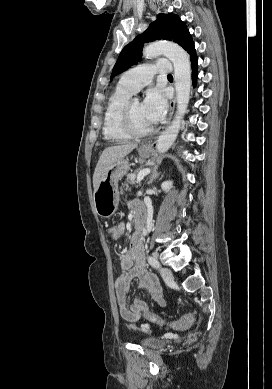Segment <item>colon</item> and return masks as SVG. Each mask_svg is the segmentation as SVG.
<instances>
[{
  "instance_id": "1",
  "label": "colon",
  "mask_w": 272,
  "mask_h": 389,
  "mask_svg": "<svg viewBox=\"0 0 272 389\" xmlns=\"http://www.w3.org/2000/svg\"><path fill=\"white\" fill-rule=\"evenodd\" d=\"M109 236L112 240H118L120 238V231L117 226H111L108 228ZM147 319L159 326H168L169 328H172L174 330H184L188 328L192 323V316L187 314L183 316L181 319L176 321L167 322L163 318H161L159 315L152 311H148L146 313ZM188 341L193 342L196 339V335L194 333H190L188 335Z\"/></svg>"
}]
</instances>
